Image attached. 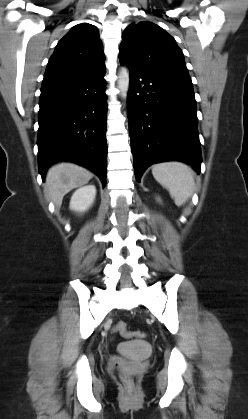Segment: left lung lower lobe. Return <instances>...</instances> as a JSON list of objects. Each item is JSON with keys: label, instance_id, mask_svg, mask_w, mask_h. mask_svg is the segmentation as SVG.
Returning <instances> with one entry per match:
<instances>
[{"label": "left lung lower lobe", "instance_id": "0a47b994", "mask_svg": "<svg viewBox=\"0 0 248 419\" xmlns=\"http://www.w3.org/2000/svg\"><path fill=\"white\" fill-rule=\"evenodd\" d=\"M127 66L128 123L136 179L140 181L150 165L170 160L185 162L200 172L193 86Z\"/></svg>", "mask_w": 248, "mask_h": 419}]
</instances>
